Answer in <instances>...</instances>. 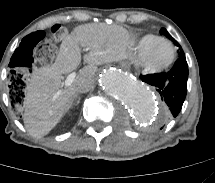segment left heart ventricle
Wrapping results in <instances>:
<instances>
[{
	"label": "left heart ventricle",
	"instance_id": "obj_1",
	"mask_svg": "<svg viewBox=\"0 0 215 183\" xmlns=\"http://www.w3.org/2000/svg\"><path fill=\"white\" fill-rule=\"evenodd\" d=\"M170 55V47L167 44L160 45L154 53V60L161 61Z\"/></svg>",
	"mask_w": 215,
	"mask_h": 183
}]
</instances>
